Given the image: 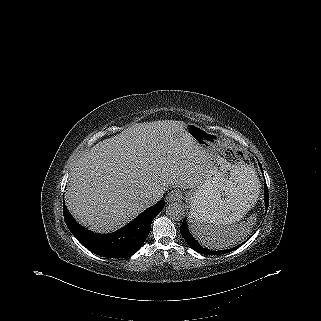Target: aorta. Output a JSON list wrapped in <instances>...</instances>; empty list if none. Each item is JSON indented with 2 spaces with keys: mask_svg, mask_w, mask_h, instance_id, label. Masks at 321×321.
<instances>
[{
  "mask_svg": "<svg viewBox=\"0 0 321 321\" xmlns=\"http://www.w3.org/2000/svg\"><path fill=\"white\" fill-rule=\"evenodd\" d=\"M166 214L171 219L181 220L184 217L185 210L181 204L174 202L167 206Z\"/></svg>",
  "mask_w": 321,
  "mask_h": 321,
  "instance_id": "obj_1",
  "label": "aorta"
}]
</instances>
